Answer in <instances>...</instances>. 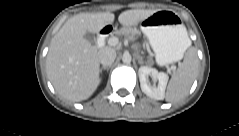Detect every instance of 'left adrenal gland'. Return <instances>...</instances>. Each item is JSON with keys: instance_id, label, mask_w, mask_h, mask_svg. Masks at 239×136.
Here are the masks:
<instances>
[{"instance_id": "left-adrenal-gland-1", "label": "left adrenal gland", "mask_w": 239, "mask_h": 136, "mask_svg": "<svg viewBox=\"0 0 239 136\" xmlns=\"http://www.w3.org/2000/svg\"><path fill=\"white\" fill-rule=\"evenodd\" d=\"M139 63H142V59H141V57H139Z\"/></svg>"}]
</instances>
